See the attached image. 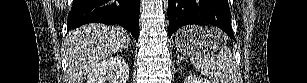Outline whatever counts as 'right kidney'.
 I'll return each mask as SVG.
<instances>
[{
    "mask_svg": "<svg viewBox=\"0 0 307 83\" xmlns=\"http://www.w3.org/2000/svg\"><path fill=\"white\" fill-rule=\"evenodd\" d=\"M129 66L121 56L107 58L93 66L87 83H127Z\"/></svg>",
    "mask_w": 307,
    "mask_h": 83,
    "instance_id": "1",
    "label": "right kidney"
}]
</instances>
